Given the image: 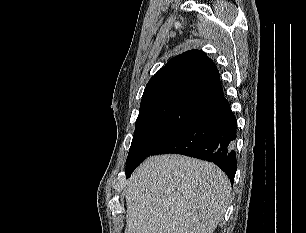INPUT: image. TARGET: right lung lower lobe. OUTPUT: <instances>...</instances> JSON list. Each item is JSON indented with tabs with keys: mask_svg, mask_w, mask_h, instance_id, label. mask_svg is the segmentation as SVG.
<instances>
[{
	"mask_svg": "<svg viewBox=\"0 0 306 233\" xmlns=\"http://www.w3.org/2000/svg\"><path fill=\"white\" fill-rule=\"evenodd\" d=\"M236 127V118L223 96L199 111L152 155L176 153L213 162L233 183L237 170L233 150Z\"/></svg>",
	"mask_w": 306,
	"mask_h": 233,
	"instance_id": "98d812e1",
	"label": "right lung lower lobe"
}]
</instances>
